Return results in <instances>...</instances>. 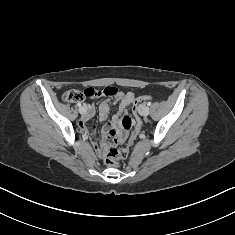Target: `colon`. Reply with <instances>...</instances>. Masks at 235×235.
<instances>
[{"instance_id":"colon-1","label":"colon","mask_w":235,"mask_h":235,"mask_svg":"<svg viewBox=\"0 0 235 235\" xmlns=\"http://www.w3.org/2000/svg\"><path fill=\"white\" fill-rule=\"evenodd\" d=\"M113 87H105L103 89L98 88H87L83 92L79 90H69L65 92L62 96V99L68 103L79 102L83 97H101V96H110L114 94ZM152 99L151 96L144 95L139 96L134 100L133 111L137 115L139 107L144 104L146 101ZM122 129L118 132L115 130H110L106 134L107 146L103 148V156L105 163L110 167H115L121 160H124L129 153V149L134 144L138 132H139V120L134 119L131 116H124L121 120ZM133 130L129 133L131 128ZM127 140L126 147L118 148L119 144L124 143Z\"/></svg>"}]
</instances>
